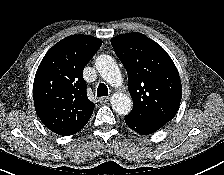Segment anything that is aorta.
I'll return each instance as SVG.
<instances>
[{
  "label": "aorta",
  "mask_w": 224,
  "mask_h": 175,
  "mask_svg": "<svg viewBox=\"0 0 224 175\" xmlns=\"http://www.w3.org/2000/svg\"><path fill=\"white\" fill-rule=\"evenodd\" d=\"M96 69L100 76L113 86H120L122 83L121 71L116 61L109 55H100L95 61ZM111 106L119 115H127L132 110L131 98L121 92L114 93L111 97Z\"/></svg>",
  "instance_id": "aorta-1"
}]
</instances>
